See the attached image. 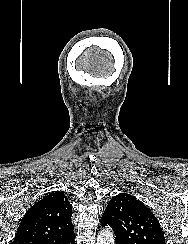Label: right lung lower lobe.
<instances>
[{
    "instance_id": "1",
    "label": "right lung lower lobe",
    "mask_w": 188,
    "mask_h": 244,
    "mask_svg": "<svg viewBox=\"0 0 188 244\" xmlns=\"http://www.w3.org/2000/svg\"><path fill=\"white\" fill-rule=\"evenodd\" d=\"M75 237L74 238H72L71 240H69L66 244H75Z\"/></svg>"
}]
</instances>
